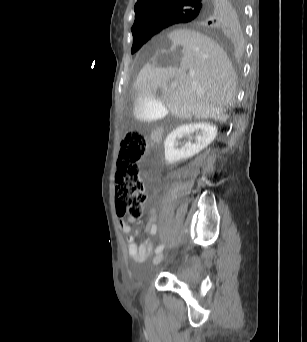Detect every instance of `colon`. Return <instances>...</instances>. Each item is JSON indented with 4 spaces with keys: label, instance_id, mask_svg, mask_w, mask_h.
Instances as JSON below:
<instances>
[{
    "label": "colon",
    "instance_id": "obj_1",
    "mask_svg": "<svg viewBox=\"0 0 307 342\" xmlns=\"http://www.w3.org/2000/svg\"><path fill=\"white\" fill-rule=\"evenodd\" d=\"M149 146L148 139L138 131H129L120 146L116 174L115 203L120 215L137 220L147 200L145 185L139 180V161Z\"/></svg>",
    "mask_w": 307,
    "mask_h": 342
}]
</instances>
